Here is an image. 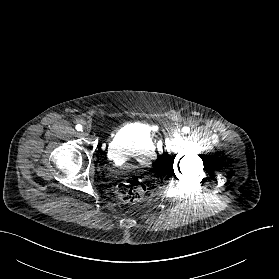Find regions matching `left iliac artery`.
Wrapping results in <instances>:
<instances>
[{"label":"left iliac artery","instance_id":"1","mask_svg":"<svg viewBox=\"0 0 279 279\" xmlns=\"http://www.w3.org/2000/svg\"><path fill=\"white\" fill-rule=\"evenodd\" d=\"M182 131H183L184 133H188V132L190 131V128L187 127V126H185V127H183Z\"/></svg>","mask_w":279,"mask_h":279}]
</instances>
